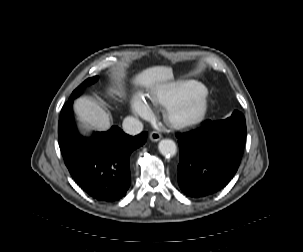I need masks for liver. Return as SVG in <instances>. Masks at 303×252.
Returning a JSON list of instances; mask_svg holds the SVG:
<instances>
[{
	"label": "liver",
	"instance_id": "1",
	"mask_svg": "<svg viewBox=\"0 0 303 252\" xmlns=\"http://www.w3.org/2000/svg\"><path fill=\"white\" fill-rule=\"evenodd\" d=\"M172 69L166 66H155L137 74L133 83L137 86L155 89L163 86L172 79ZM80 120L97 130L110 128L108 113L95 101L89 98H79L74 105Z\"/></svg>",
	"mask_w": 303,
	"mask_h": 252
}]
</instances>
